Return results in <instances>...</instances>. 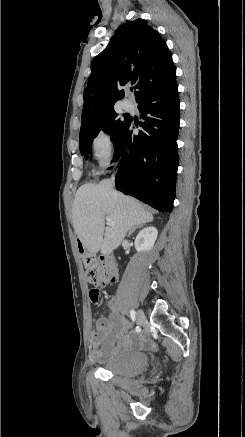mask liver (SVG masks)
Here are the masks:
<instances>
[{
    "label": "liver",
    "instance_id": "6515ba94",
    "mask_svg": "<svg viewBox=\"0 0 245 437\" xmlns=\"http://www.w3.org/2000/svg\"><path fill=\"white\" fill-rule=\"evenodd\" d=\"M109 216L114 226L105 227ZM153 221V215L136 199L117 192L113 182L84 184L76 192L72 223L78 239L91 254H110L118 248L127 232Z\"/></svg>",
    "mask_w": 245,
    "mask_h": 437
}]
</instances>
